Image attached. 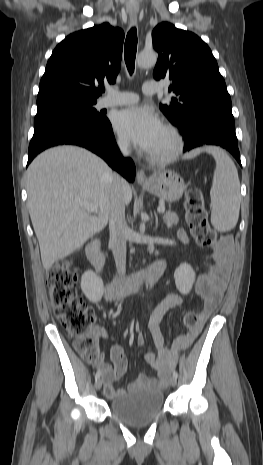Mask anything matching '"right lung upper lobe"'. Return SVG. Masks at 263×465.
Listing matches in <instances>:
<instances>
[{
    "instance_id": "cb5924a9",
    "label": "right lung upper lobe",
    "mask_w": 263,
    "mask_h": 465,
    "mask_svg": "<svg viewBox=\"0 0 263 465\" xmlns=\"http://www.w3.org/2000/svg\"><path fill=\"white\" fill-rule=\"evenodd\" d=\"M123 41L124 32L109 23L67 36L52 52L37 101L57 96L97 99L104 81H116Z\"/></svg>"
}]
</instances>
